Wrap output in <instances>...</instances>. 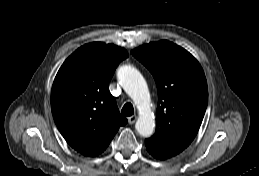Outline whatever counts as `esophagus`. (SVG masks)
<instances>
[{
  "mask_svg": "<svg viewBox=\"0 0 259 176\" xmlns=\"http://www.w3.org/2000/svg\"><path fill=\"white\" fill-rule=\"evenodd\" d=\"M136 119H137V117L135 115L128 117L129 124H131V125L134 124Z\"/></svg>",
  "mask_w": 259,
  "mask_h": 176,
  "instance_id": "34e87169",
  "label": "esophagus"
}]
</instances>
